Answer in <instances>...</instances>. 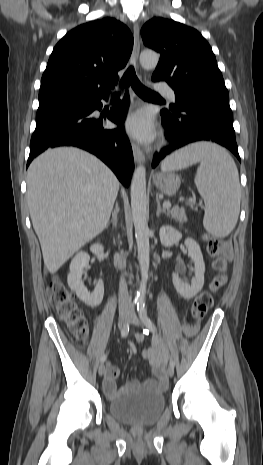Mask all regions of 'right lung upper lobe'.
I'll return each instance as SVG.
<instances>
[{"instance_id": "right-lung-upper-lobe-1", "label": "right lung upper lobe", "mask_w": 263, "mask_h": 465, "mask_svg": "<svg viewBox=\"0 0 263 465\" xmlns=\"http://www.w3.org/2000/svg\"><path fill=\"white\" fill-rule=\"evenodd\" d=\"M132 48L130 30L113 18L72 29L53 49L42 76L39 101L110 93Z\"/></svg>"}]
</instances>
